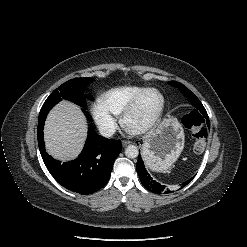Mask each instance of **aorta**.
<instances>
[{
	"instance_id": "aorta-1",
	"label": "aorta",
	"mask_w": 247,
	"mask_h": 247,
	"mask_svg": "<svg viewBox=\"0 0 247 247\" xmlns=\"http://www.w3.org/2000/svg\"><path fill=\"white\" fill-rule=\"evenodd\" d=\"M139 150L135 145H128L125 149V155L128 158L134 159L138 156Z\"/></svg>"
}]
</instances>
